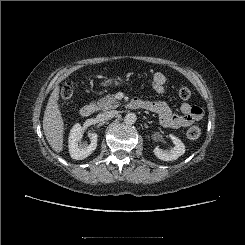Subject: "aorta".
I'll return each instance as SVG.
<instances>
[{"label": "aorta", "instance_id": "aorta-1", "mask_svg": "<svg viewBox=\"0 0 245 245\" xmlns=\"http://www.w3.org/2000/svg\"><path fill=\"white\" fill-rule=\"evenodd\" d=\"M137 120V117L134 113H128L125 118H124V122L126 124H134Z\"/></svg>", "mask_w": 245, "mask_h": 245}]
</instances>
